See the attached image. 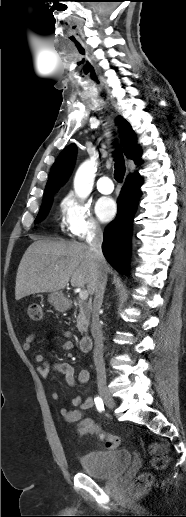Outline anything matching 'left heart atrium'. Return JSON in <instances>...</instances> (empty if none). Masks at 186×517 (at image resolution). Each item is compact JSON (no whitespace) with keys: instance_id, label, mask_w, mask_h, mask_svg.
Listing matches in <instances>:
<instances>
[{"instance_id":"1","label":"left heart atrium","mask_w":186,"mask_h":517,"mask_svg":"<svg viewBox=\"0 0 186 517\" xmlns=\"http://www.w3.org/2000/svg\"><path fill=\"white\" fill-rule=\"evenodd\" d=\"M95 211L101 221L108 222L116 215L117 207L113 199L102 197L97 201Z\"/></svg>"}]
</instances>
